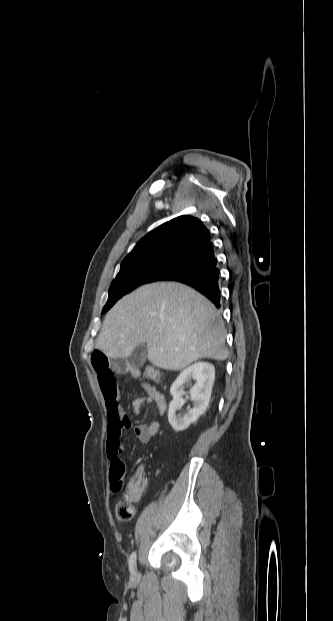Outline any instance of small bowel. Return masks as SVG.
I'll return each instance as SVG.
<instances>
[{
  "label": "small bowel",
  "instance_id": "small-bowel-1",
  "mask_svg": "<svg viewBox=\"0 0 333 621\" xmlns=\"http://www.w3.org/2000/svg\"><path fill=\"white\" fill-rule=\"evenodd\" d=\"M91 363L97 374L99 387L107 410V454L111 467L116 462H124V447L121 442V436L123 431L131 426V422L121 405L115 379V374L121 372L125 364L121 360L108 357L101 350H94L92 352ZM142 389L145 392V396L138 397L133 401L134 412L140 414L147 403L155 402L159 415L162 416L167 409L164 395L154 385L147 382L142 383ZM159 430V421H153L150 424H139L134 428L137 438L143 443H147Z\"/></svg>",
  "mask_w": 333,
  "mask_h": 621
}]
</instances>
